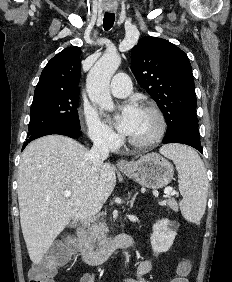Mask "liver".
Returning <instances> with one entry per match:
<instances>
[{
  "label": "liver",
  "mask_w": 232,
  "mask_h": 282,
  "mask_svg": "<svg viewBox=\"0 0 232 282\" xmlns=\"http://www.w3.org/2000/svg\"><path fill=\"white\" fill-rule=\"evenodd\" d=\"M89 151L75 140L49 135L23 151L18 175L20 223L29 257L43 259L71 220L98 212L116 184L114 168L103 163L92 170ZM69 190L70 197L63 192Z\"/></svg>",
  "instance_id": "1"
}]
</instances>
